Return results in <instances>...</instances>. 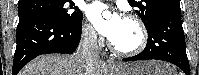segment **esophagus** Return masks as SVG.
Here are the masks:
<instances>
[{"label": "esophagus", "instance_id": "esophagus-1", "mask_svg": "<svg viewBox=\"0 0 199 75\" xmlns=\"http://www.w3.org/2000/svg\"><path fill=\"white\" fill-rule=\"evenodd\" d=\"M107 64H108L109 66H115L116 63H115L114 58H113V57H109V58L107 59Z\"/></svg>", "mask_w": 199, "mask_h": 75}]
</instances>
